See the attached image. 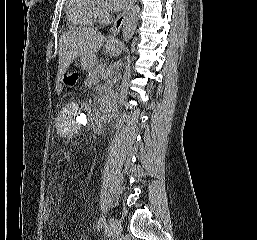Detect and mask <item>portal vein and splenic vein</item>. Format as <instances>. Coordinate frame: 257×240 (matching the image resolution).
I'll use <instances>...</instances> for the list:
<instances>
[{"label": "portal vein and splenic vein", "mask_w": 257, "mask_h": 240, "mask_svg": "<svg viewBox=\"0 0 257 240\" xmlns=\"http://www.w3.org/2000/svg\"><path fill=\"white\" fill-rule=\"evenodd\" d=\"M111 73V71L110 70H108V74H110Z\"/></svg>", "instance_id": "obj_1"}]
</instances>
